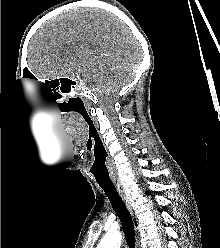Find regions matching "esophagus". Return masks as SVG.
I'll return each mask as SVG.
<instances>
[{
	"label": "esophagus",
	"instance_id": "esophagus-1",
	"mask_svg": "<svg viewBox=\"0 0 220 248\" xmlns=\"http://www.w3.org/2000/svg\"><path fill=\"white\" fill-rule=\"evenodd\" d=\"M116 189H117V192L119 193L120 197L124 201L126 207L130 211V213L133 215L132 205L130 203V200L126 196L125 191H124L122 185L117 183L116 184ZM136 245H137V248H141V245H140V242L139 241H137Z\"/></svg>",
	"mask_w": 220,
	"mask_h": 248
}]
</instances>
